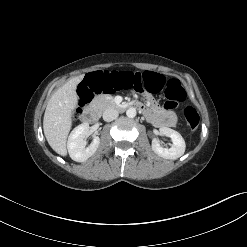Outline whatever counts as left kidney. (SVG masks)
<instances>
[{
    "label": "left kidney",
    "instance_id": "obj_1",
    "mask_svg": "<svg viewBox=\"0 0 247 247\" xmlns=\"http://www.w3.org/2000/svg\"><path fill=\"white\" fill-rule=\"evenodd\" d=\"M159 134L170 137L172 139V145L170 148L162 147L157 139L152 141V150L162 158L175 160L181 157L185 152V141L183 137L175 130L168 127H161Z\"/></svg>",
    "mask_w": 247,
    "mask_h": 247
}]
</instances>
